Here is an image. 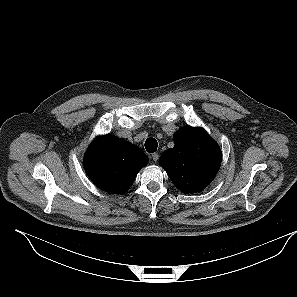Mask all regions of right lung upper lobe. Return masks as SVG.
<instances>
[{
  "mask_svg": "<svg viewBox=\"0 0 297 297\" xmlns=\"http://www.w3.org/2000/svg\"><path fill=\"white\" fill-rule=\"evenodd\" d=\"M85 171L97 187L121 194L129 189L147 155L137 146L114 136L95 139L84 159Z\"/></svg>",
  "mask_w": 297,
  "mask_h": 297,
  "instance_id": "right-lung-upper-lobe-1",
  "label": "right lung upper lobe"
}]
</instances>
